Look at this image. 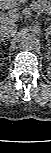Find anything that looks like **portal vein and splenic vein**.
I'll use <instances>...</instances> for the list:
<instances>
[{
	"instance_id": "18ae733b",
	"label": "portal vein and splenic vein",
	"mask_w": 51,
	"mask_h": 153,
	"mask_svg": "<svg viewBox=\"0 0 51 153\" xmlns=\"http://www.w3.org/2000/svg\"><path fill=\"white\" fill-rule=\"evenodd\" d=\"M18 14L17 13H9L8 15H3V16H1V20L2 21H10V22H12V20L11 19H17L18 18Z\"/></svg>"
}]
</instances>
